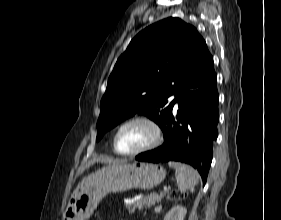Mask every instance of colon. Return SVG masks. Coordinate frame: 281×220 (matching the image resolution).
<instances>
[{
  "label": "colon",
  "mask_w": 281,
  "mask_h": 220,
  "mask_svg": "<svg viewBox=\"0 0 281 220\" xmlns=\"http://www.w3.org/2000/svg\"><path fill=\"white\" fill-rule=\"evenodd\" d=\"M174 199H182L184 197V193L180 191H175L171 194Z\"/></svg>",
  "instance_id": "obj_1"
}]
</instances>
